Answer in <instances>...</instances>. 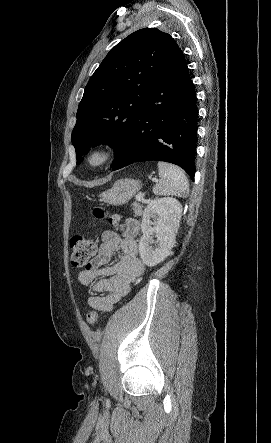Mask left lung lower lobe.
I'll list each match as a JSON object with an SVG mask.
<instances>
[{"label": "left lung lower lobe", "instance_id": "0a47b994", "mask_svg": "<svg viewBox=\"0 0 271 443\" xmlns=\"http://www.w3.org/2000/svg\"><path fill=\"white\" fill-rule=\"evenodd\" d=\"M146 93L145 109L112 170L134 162L165 161L183 168L193 180L198 110L180 48L155 75Z\"/></svg>", "mask_w": 271, "mask_h": 443}]
</instances>
